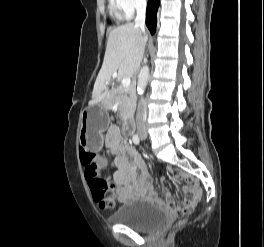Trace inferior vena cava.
Returning <instances> with one entry per match:
<instances>
[{"mask_svg":"<svg viewBox=\"0 0 264 247\" xmlns=\"http://www.w3.org/2000/svg\"><path fill=\"white\" fill-rule=\"evenodd\" d=\"M146 0H137L136 3V18L135 25L138 26L143 32H145V13H146ZM147 117L146 102L143 98L139 100L137 113H136V124L137 126L144 125Z\"/></svg>","mask_w":264,"mask_h":247,"instance_id":"inferior-vena-cava-1","label":"inferior vena cava"}]
</instances>
